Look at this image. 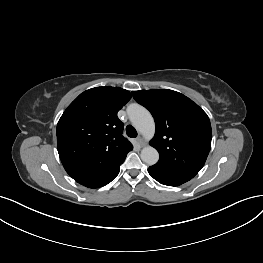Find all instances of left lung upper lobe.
Instances as JSON below:
<instances>
[{"mask_svg": "<svg viewBox=\"0 0 263 263\" xmlns=\"http://www.w3.org/2000/svg\"><path fill=\"white\" fill-rule=\"evenodd\" d=\"M134 99L154 117L155 136L150 145L159 152L155 167L193 178L203 167L211 148L207 114L183 94L167 89L132 91Z\"/></svg>", "mask_w": 263, "mask_h": 263, "instance_id": "1", "label": "left lung upper lobe"}]
</instances>
